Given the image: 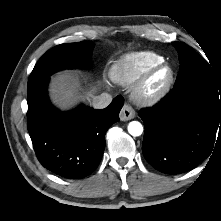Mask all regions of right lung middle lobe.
I'll list each match as a JSON object with an SVG mask.
<instances>
[{
  "mask_svg": "<svg viewBox=\"0 0 221 221\" xmlns=\"http://www.w3.org/2000/svg\"><path fill=\"white\" fill-rule=\"evenodd\" d=\"M94 46L93 42L82 41L61 44L52 48L35 65L29 77L28 90L59 70L85 67L89 62Z\"/></svg>",
  "mask_w": 221,
  "mask_h": 221,
  "instance_id": "dd1d6c3e",
  "label": "right lung middle lobe"
}]
</instances>
